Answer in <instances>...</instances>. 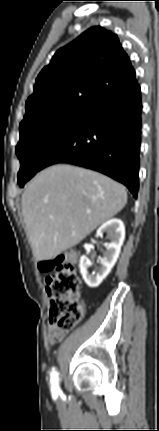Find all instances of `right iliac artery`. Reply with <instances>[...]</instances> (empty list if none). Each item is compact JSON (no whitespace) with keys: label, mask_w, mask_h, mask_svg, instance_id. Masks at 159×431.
<instances>
[{"label":"right iliac artery","mask_w":159,"mask_h":431,"mask_svg":"<svg viewBox=\"0 0 159 431\" xmlns=\"http://www.w3.org/2000/svg\"><path fill=\"white\" fill-rule=\"evenodd\" d=\"M51 390L53 393H58L60 390L58 373L54 369L51 372Z\"/></svg>","instance_id":"82829eb1"}]
</instances>
